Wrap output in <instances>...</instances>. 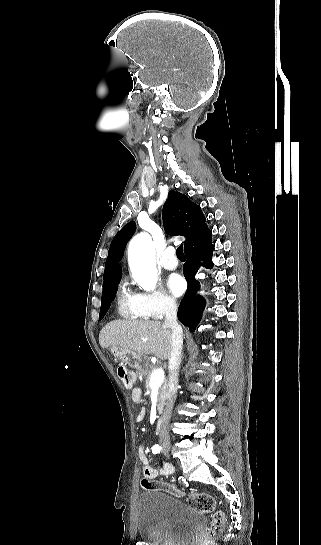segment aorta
I'll use <instances>...</instances> for the list:
<instances>
[{
    "label": "aorta",
    "instance_id": "aorta-1",
    "mask_svg": "<svg viewBox=\"0 0 321 545\" xmlns=\"http://www.w3.org/2000/svg\"><path fill=\"white\" fill-rule=\"evenodd\" d=\"M128 261L135 281L147 291L155 288L156 263L152 238L147 233L136 235L129 244Z\"/></svg>",
    "mask_w": 321,
    "mask_h": 545
}]
</instances>
